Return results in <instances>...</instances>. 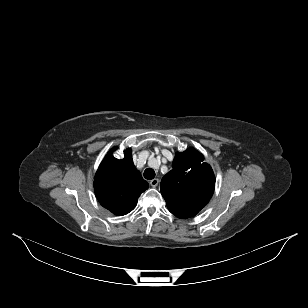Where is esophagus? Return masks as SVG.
Segmentation results:
<instances>
[{
    "label": "esophagus",
    "instance_id": "esophagus-1",
    "mask_svg": "<svg viewBox=\"0 0 308 308\" xmlns=\"http://www.w3.org/2000/svg\"><path fill=\"white\" fill-rule=\"evenodd\" d=\"M158 184H159V179H157V178H154V179H152V180L150 181V185H151L152 187H156Z\"/></svg>",
    "mask_w": 308,
    "mask_h": 308
}]
</instances>
